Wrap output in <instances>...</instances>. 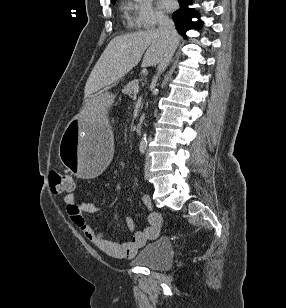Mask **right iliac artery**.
<instances>
[{"label": "right iliac artery", "mask_w": 286, "mask_h": 308, "mask_svg": "<svg viewBox=\"0 0 286 308\" xmlns=\"http://www.w3.org/2000/svg\"><path fill=\"white\" fill-rule=\"evenodd\" d=\"M146 149H147V146H145V145L140 146V152H141V154H145Z\"/></svg>", "instance_id": "82829eb1"}]
</instances>
